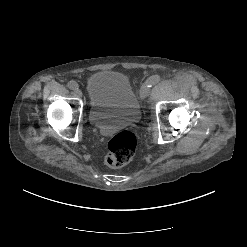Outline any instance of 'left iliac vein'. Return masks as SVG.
Returning <instances> with one entry per match:
<instances>
[{
    "label": "left iliac vein",
    "mask_w": 247,
    "mask_h": 247,
    "mask_svg": "<svg viewBox=\"0 0 247 247\" xmlns=\"http://www.w3.org/2000/svg\"><path fill=\"white\" fill-rule=\"evenodd\" d=\"M150 89L147 84L143 85L140 90V97L142 99L146 98L149 95Z\"/></svg>",
    "instance_id": "4c4485c4"
}]
</instances>
